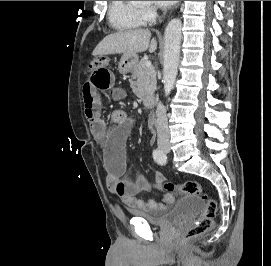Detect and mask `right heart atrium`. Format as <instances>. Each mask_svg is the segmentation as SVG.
Masks as SVG:
<instances>
[{"label": "right heart atrium", "mask_w": 271, "mask_h": 266, "mask_svg": "<svg viewBox=\"0 0 271 266\" xmlns=\"http://www.w3.org/2000/svg\"><path fill=\"white\" fill-rule=\"evenodd\" d=\"M156 10L153 7H145L142 9V16L144 19V22H150L155 18Z\"/></svg>", "instance_id": "obj_1"}]
</instances>
